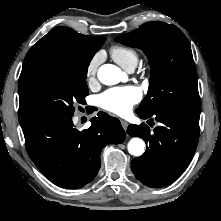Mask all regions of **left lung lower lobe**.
Listing matches in <instances>:
<instances>
[{
  "label": "left lung lower lobe",
  "instance_id": "0a47b994",
  "mask_svg": "<svg viewBox=\"0 0 221 221\" xmlns=\"http://www.w3.org/2000/svg\"><path fill=\"white\" fill-rule=\"evenodd\" d=\"M136 113L142 119L155 118L161 124L153 131L145 123L129 125L130 136H139L149 144L141 157L132 160V171L148 187L167 186L182 175L193 158L199 139L200 113L165 106Z\"/></svg>",
  "mask_w": 221,
  "mask_h": 221
}]
</instances>
